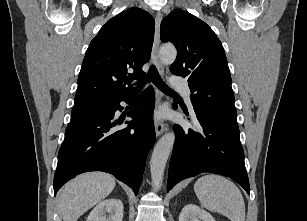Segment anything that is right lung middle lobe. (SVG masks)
Masks as SVG:
<instances>
[{
    "label": "right lung middle lobe",
    "instance_id": "1",
    "mask_svg": "<svg viewBox=\"0 0 307 221\" xmlns=\"http://www.w3.org/2000/svg\"><path fill=\"white\" fill-rule=\"evenodd\" d=\"M111 102H99L74 106L71 121L68 126H73L105 113Z\"/></svg>",
    "mask_w": 307,
    "mask_h": 221
}]
</instances>
